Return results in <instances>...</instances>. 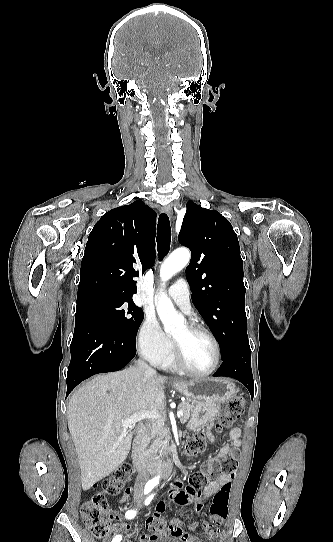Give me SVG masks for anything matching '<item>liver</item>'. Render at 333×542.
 <instances>
[{
    "instance_id": "liver-1",
    "label": "liver",
    "mask_w": 333,
    "mask_h": 542,
    "mask_svg": "<svg viewBox=\"0 0 333 542\" xmlns=\"http://www.w3.org/2000/svg\"><path fill=\"white\" fill-rule=\"evenodd\" d=\"M165 376H146L140 368L100 374L73 394L67 406L69 432L76 448L83 490L106 478L126 460L133 438L123 426L137 412L163 410Z\"/></svg>"
}]
</instances>
